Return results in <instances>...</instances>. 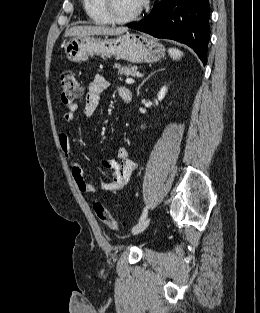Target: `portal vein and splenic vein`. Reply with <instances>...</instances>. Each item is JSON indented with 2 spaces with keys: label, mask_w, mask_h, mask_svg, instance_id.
<instances>
[{
  "label": "portal vein and splenic vein",
  "mask_w": 260,
  "mask_h": 313,
  "mask_svg": "<svg viewBox=\"0 0 260 313\" xmlns=\"http://www.w3.org/2000/svg\"><path fill=\"white\" fill-rule=\"evenodd\" d=\"M125 82H126L127 84H133V83H134V80H133L132 78H127V79L125 80Z\"/></svg>",
  "instance_id": "obj_1"
}]
</instances>
